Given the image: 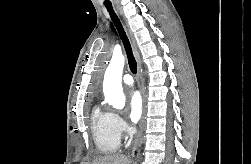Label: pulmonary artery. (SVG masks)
<instances>
[{
	"instance_id": "obj_1",
	"label": "pulmonary artery",
	"mask_w": 251,
	"mask_h": 164,
	"mask_svg": "<svg viewBox=\"0 0 251 164\" xmlns=\"http://www.w3.org/2000/svg\"><path fill=\"white\" fill-rule=\"evenodd\" d=\"M123 83L126 85H132L133 84V78L130 74H125L122 78Z\"/></svg>"
}]
</instances>
